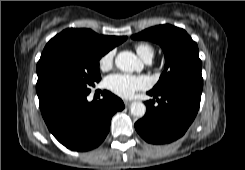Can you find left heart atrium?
I'll use <instances>...</instances> for the list:
<instances>
[{"label": "left heart atrium", "instance_id": "39dd6f15", "mask_svg": "<svg viewBox=\"0 0 245 170\" xmlns=\"http://www.w3.org/2000/svg\"><path fill=\"white\" fill-rule=\"evenodd\" d=\"M108 88L115 94L129 98L136 91L150 87V80L146 76H136L130 74H112L107 77Z\"/></svg>", "mask_w": 245, "mask_h": 170}]
</instances>
